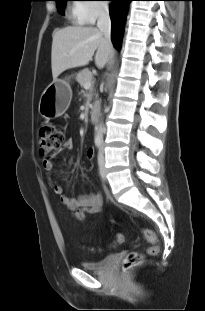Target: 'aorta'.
Segmentation results:
<instances>
[{
	"label": "aorta",
	"mask_w": 205,
	"mask_h": 311,
	"mask_svg": "<svg viewBox=\"0 0 205 311\" xmlns=\"http://www.w3.org/2000/svg\"><path fill=\"white\" fill-rule=\"evenodd\" d=\"M95 141H97V142H102L103 141V127H102V123L97 124V126H96Z\"/></svg>",
	"instance_id": "1"
}]
</instances>
